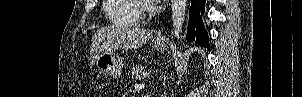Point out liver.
Here are the masks:
<instances>
[{"label":"liver","mask_w":302,"mask_h":97,"mask_svg":"<svg viewBox=\"0 0 302 97\" xmlns=\"http://www.w3.org/2000/svg\"><path fill=\"white\" fill-rule=\"evenodd\" d=\"M152 37V32L133 25H113L94 34L90 48L91 66L97 55L104 50L137 49Z\"/></svg>","instance_id":"obj_1"}]
</instances>
